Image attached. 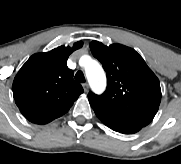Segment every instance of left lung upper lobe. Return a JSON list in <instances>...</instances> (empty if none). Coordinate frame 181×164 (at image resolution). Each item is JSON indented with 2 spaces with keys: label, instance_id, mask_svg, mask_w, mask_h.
<instances>
[{
  "label": "left lung upper lobe",
  "instance_id": "left-lung-upper-lobe-1",
  "mask_svg": "<svg viewBox=\"0 0 181 164\" xmlns=\"http://www.w3.org/2000/svg\"><path fill=\"white\" fill-rule=\"evenodd\" d=\"M90 50L107 73V88L102 95L89 92L94 111L107 112L141 126L148 125L158 111L161 88L158 78L143 58L121 44L109 47L98 41Z\"/></svg>",
  "mask_w": 181,
  "mask_h": 164
}]
</instances>
